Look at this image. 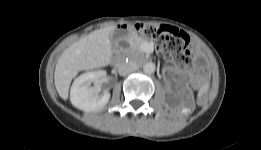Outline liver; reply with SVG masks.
<instances>
[{"instance_id": "obj_1", "label": "liver", "mask_w": 261, "mask_h": 150, "mask_svg": "<svg viewBox=\"0 0 261 150\" xmlns=\"http://www.w3.org/2000/svg\"><path fill=\"white\" fill-rule=\"evenodd\" d=\"M116 26H108L81 37L60 56L54 73V82L59 96L67 100L72 79L82 70L105 67L111 62L110 36Z\"/></svg>"}]
</instances>
